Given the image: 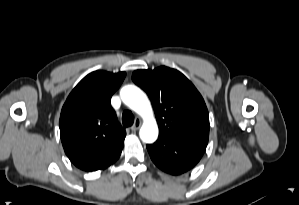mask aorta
<instances>
[{"label":"aorta","instance_id":"obj_1","mask_svg":"<svg viewBox=\"0 0 299 205\" xmlns=\"http://www.w3.org/2000/svg\"><path fill=\"white\" fill-rule=\"evenodd\" d=\"M122 101L144 118L139 135L143 142L153 143L158 137V126L151 104L144 92L136 86L127 85L120 92Z\"/></svg>","mask_w":299,"mask_h":205}]
</instances>
